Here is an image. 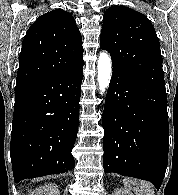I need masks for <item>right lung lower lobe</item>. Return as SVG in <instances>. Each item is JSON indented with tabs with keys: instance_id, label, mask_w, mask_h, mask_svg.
I'll use <instances>...</instances> for the list:
<instances>
[{
	"instance_id": "obj_1",
	"label": "right lung lower lobe",
	"mask_w": 178,
	"mask_h": 195,
	"mask_svg": "<svg viewBox=\"0 0 178 195\" xmlns=\"http://www.w3.org/2000/svg\"><path fill=\"white\" fill-rule=\"evenodd\" d=\"M83 65L16 82L10 156L14 181L73 169Z\"/></svg>"
}]
</instances>
